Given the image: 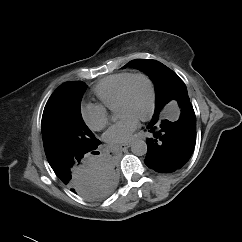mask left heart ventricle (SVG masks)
Masks as SVG:
<instances>
[{
	"mask_svg": "<svg viewBox=\"0 0 242 242\" xmlns=\"http://www.w3.org/2000/svg\"><path fill=\"white\" fill-rule=\"evenodd\" d=\"M149 100L150 94L147 82L142 78H137L131 83L127 100L116 107V114L118 117L131 114L139 118L147 111Z\"/></svg>",
	"mask_w": 242,
	"mask_h": 242,
	"instance_id": "1",
	"label": "left heart ventricle"
}]
</instances>
